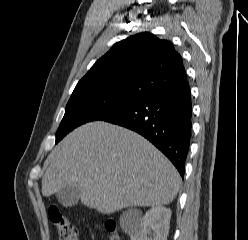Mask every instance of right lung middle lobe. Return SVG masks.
I'll use <instances>...</instances> for the list:
<instances>
[{"label":"right lung middle lobe","mask_w":248,"mask_h":240,"mask_svg":"<svg viewBox=\"0 0 248 240\" xmlns=\"http://www.w3.org/2000/svg\"><path fill=\"white\" fill-rule=\"evenodd\" d=\"M141 96L130 95L112 88H82L74 90L56 134L59 142L74 128L102 120L135 103Z\"/></svg>","instance_id":"dd1d6c3e"}]
</instances>
